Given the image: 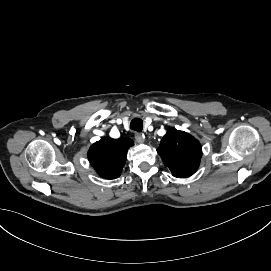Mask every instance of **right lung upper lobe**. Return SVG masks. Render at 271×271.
<instances>
[{"mask_svg": "<svg viewBox=\"0 0 271 271\" xmlns=\"http://www.w3.org/2000/svg\"><path fill=\"white\" fill-rule=\"evenodd\" d=\"M133 145L130 138L104 137L90 147L88 159L101 177L114 179L120 176L126 162L127 150Z\"/></svg>", "mask_w": 271, "mask_h": 271, "instance_id": "1", "label": "right lung upper lobe"}]
</instances>
